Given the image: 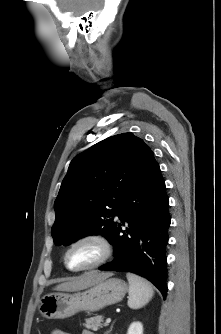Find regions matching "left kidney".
<instances>
[{"mask_svg": "<svg viewBox=\"0 0 221 334\" xmlns=\"http://www.w3.org/2000/svg\"><path fill=\"white\" fill-rule=\"evenodd\" d=\"M127 334H143V325L141 322H133L128 328Z\"/></svg>", "mask_w": 221, "mask_h": 334, "instance_id": "1", "label": "left kidney"}]
</instances>
